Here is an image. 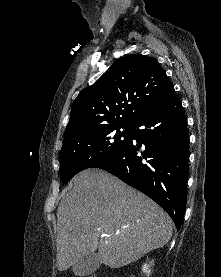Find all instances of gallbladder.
<instances>
[{"label":"gallbladder","instance_id":"1","mask_svg":"<svg viewBox=\"0 0 221 277\" xmlns=\"http://www.w3.org/2000/svg\"><path fill=\"white\" fill-rule=\"evenodd\" d=\"M101 265V261L97 253H90L83 256L80 260L73 266V273L77 276H85L95 272Z\"/></svg>","mask_w":221,"mask_h":277}]
</instances>
